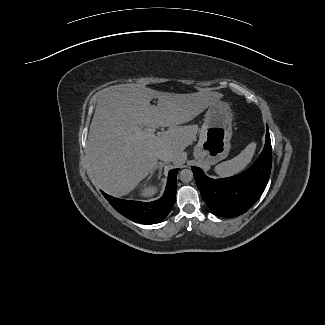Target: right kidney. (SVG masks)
Masks as SVG:
<instances>
[{
	"label": "right kidney",
	"instance_id": "1",
	"mask_svg": "<svg viewBox=\"0 0 325 325\" xmlns=\"http://www.w3.org/2000/svg\"><path fill=\"white\" fill-rule=\"evenodd\" d=\"M155 190H156L155 187L149 186V187H146V188L142 191V194H143L144 196H150V195H152V194L155 193Z\"/></svg>",
	"mask_w": 325,
	"mask_h": 325
}]
</instances>
